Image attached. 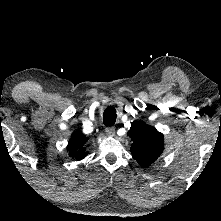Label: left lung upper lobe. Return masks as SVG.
<instances>
[{
    "instance_id": "obj_1",
    "label": "left lung upper lobe",
    "mask_w": 221,
    "mask_h": 221,
    "mask_svg": "<svg viewBox=\"0 0 221 221\" xmlns=\"http://www.w3.org/2000/svg\"><path fill=\"white\" fill-rule=\"evenodd\" d=\"M128 136L133 144L132 156L141 167H147L161 155L163 151V135L154 127L142 122L131 123Z\"/></svg>"
}]
</instances>
